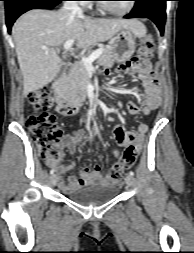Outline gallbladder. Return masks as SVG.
Returning a JSON list of instances; mask_svg holds the SVG:
<instances>
[{
	"mask_svg": "<svg viewBox=\"0 0 194 253\" xmlns=\"http://www.w3.org/2000/svg\"><path fill=\"white\" fill-rule=\"evenodd\" d=\"M63 71H64V67H63V66H61L60 71H59V73H58V76H57V77H60V76L62 75Z\"/></svg>",
	"mask_w": 194,
	"mask_h": 253,
	"instance_id": "obj_1",
	"label": "gallbladder"
}]
</instances>
